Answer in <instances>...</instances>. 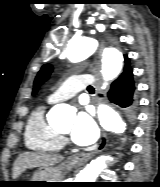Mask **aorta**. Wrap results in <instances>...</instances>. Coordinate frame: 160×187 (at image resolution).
<instances>
[{
    "mask_svg": "<svg viewBox=\"0 0 160 187\" xmlns=\"http://www.w3.org/2000/svg\"><path fill=\"white\" fill-rule=\"evenodd\" d=\"M98 47V41L94 37L73 38L67 47V57L72 62H79L94 54ZM123 65V55L115 48H106L103 51L102 76L104 79L103 89L107 82L116 78ZM71 107L65 104L54 106L49 112L50 120H65L70 117ZM98 117L101 126L108 132L123 134L126 124L117 112L106 105L98 108ZM113 161L110 155L100 156L91 161L76 177L75 182H95L99 174Z\"/></svg>",
    "mask_w": 160,
    "mask_h": 187,
    "instance_id": "762f6f07",
    "label": "aorta"
}]
</instances>
